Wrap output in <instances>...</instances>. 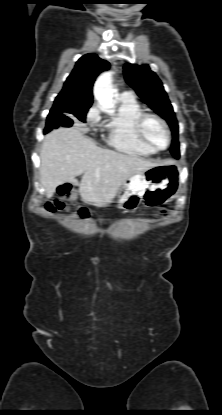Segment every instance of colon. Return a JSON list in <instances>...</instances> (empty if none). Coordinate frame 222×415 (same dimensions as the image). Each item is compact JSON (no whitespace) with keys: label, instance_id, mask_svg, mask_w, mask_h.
I'll return each instance as SVG.
<instances>
[{"label":"colon","instance_id":"obj_1","mask_svg":"<svg viewBox=\"0 0 222 415\" xmlns=\"http://www.w3.org/2000/svg\"><path fill=\"white\" fill-rule=\"evenodd\" d=\"M59 199L48 204V208L52 211H60L66 208V201L72 198V187L69 184H63L58 188Z\"/></svg>","mask_w":222,"mask_h":415}]
</instances>
